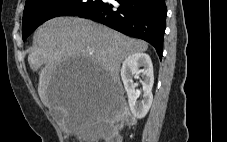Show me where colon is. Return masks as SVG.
Returning <instances> with one entry per match:
<instances>
[{
  "label": "colon",
  "mask_w": 227,
  "mask_h": 142,
  "mask_svg": "<svg viewBox=\"0 0 227 142\" xmlns=\"http://www.w3.org/2000/svg\"><path fill=\"white\" fill-rule=\"evenodd\" d=\"M133 119L124 109H120L108 117L107 123L103 129L105 140L107 142H120L119 130L125 124H132Z\"/></svg>",
  "instance_id": "colon-1"
}]
</instances>
